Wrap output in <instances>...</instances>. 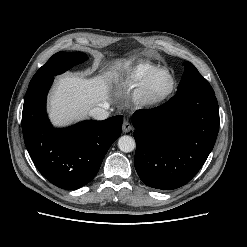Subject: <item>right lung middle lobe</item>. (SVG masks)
I'll use <instances>...</instances> for the list:
<instances>
[{
    "label": "right lung middle lobe",
    "instance_id": "dd1d6c3e",
    "mask_svg": "<svg viewBox=\"0 0 247 247\" xmlns=\"http://www.w3.org/2000/svg\"><path fill=\"white\" fill-rule=\"evenodd\" d=\"M88 59L82 52H58L54 54L33 76L29 85L65 72Z\"/></svg>",
    "mask_w": 247,
    "mask_h": 247
}]
</instances>
